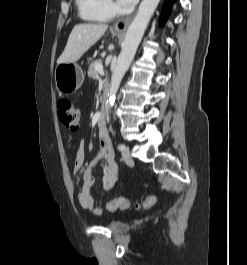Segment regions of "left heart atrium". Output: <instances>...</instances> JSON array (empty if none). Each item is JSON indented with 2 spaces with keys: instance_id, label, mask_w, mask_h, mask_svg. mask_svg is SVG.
<instances>
[{
  "instance_id": "1",
  "label": "left heart atrium",
  "mask_w": 247,
  "mask_h": 265,
  "mask_svg": "<svg viewBox=\"0 0 247 265\" xmlns=\"http://www.w3.org/2000/svg\"><path fill=\"white\" fill-rule=\"evenodd\" d=\"M118 4L122 7H130L132 6L137 0H117Z\"/></svg>"
}]
</instances>
